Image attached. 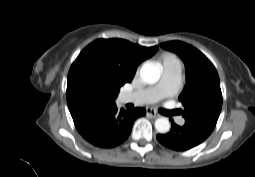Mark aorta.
Wrapping results in <instances>:
<instances>
[{
    "mask_svg": "<svg viewBox=\"0 0 255 177\" xmlns=\"http://www.w3.org/2000/svg\"><path fill=\"white\" fill-rule=\"evenodd\" d=\"M161 76L160 69L153 63H145L140 69V77L144 83L154 84ZM170 122L167 118H158L155 121V128L159 133H167L170 130Z\"/></svg>",
    "mask_w": 255,
    "mask_h": 177,
    "instance_id": "762f6f07",
    "label": "aorta"
}]
</instances>
